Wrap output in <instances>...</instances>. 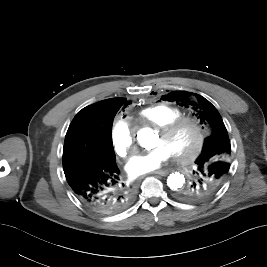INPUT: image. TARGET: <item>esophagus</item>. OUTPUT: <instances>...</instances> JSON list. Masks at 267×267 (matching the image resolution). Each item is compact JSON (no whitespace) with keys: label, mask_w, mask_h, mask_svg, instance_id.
<instances>
[{"label":"esophagus","mask_w":267,"mask_h":267,"mask_svg":"<svg viewBox=\"0 0 267 267\" xmlns=\"http://www.w3.org/2000/svg\"><path fill=\"white\" fill-rule=\"evenodd\" d=\"M169 172L167 170H159V171H154L152 174H158L161 176H166Z\"/></svg>","instance_id":"1"}]
</instances>
